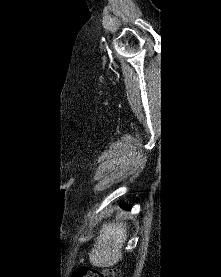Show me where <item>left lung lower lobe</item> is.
<instances>
[{
  "label": "left lung lower lobe",
  "instance_id": "0a47b994",
  "mask_svg": "<svg viewBox=\"0 0 221 277\" xmlns=\"http://www.w3.org/2000/svg\"><path fill=\"white\" fill-rule=\"evenodd\" d=\"M123 207H124L126 210H130V209H131V206H128V205H123Z\"/></svg>",
  "mask_w": 221,
  "mask_h": 277
}]
</instances>
